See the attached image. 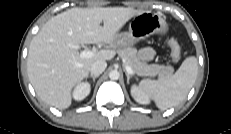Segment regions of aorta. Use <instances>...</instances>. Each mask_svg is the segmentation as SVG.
<instances>
[{
  "label": "aorta",
  "mask_w": 231,
  "mask_h": 134,
  "mask_svg": "<svg viewBox=\"0 0 231 134\" xmlns=\"http://www.w3.org/2000/svg\"><path fill=\"white\" fill-rule=\"evenodd\" d=\"M119 77H120V74H119V72H118L117 70H112V71H110V73H109V78H110L111 80H118Z\"/></svg>",
  "instance_id": "obj_1"
}]
</instances>
